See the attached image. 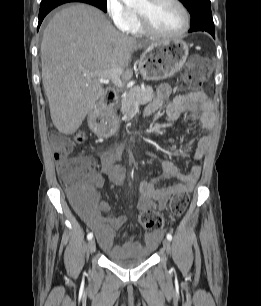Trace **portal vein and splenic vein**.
Instances as JSON below:
<instances>
[{
	"label": "portal vein and splenic vein",
	"instance_id": "portal-vein-and-splenic-vein-1",
	"mask_svg": "<svg viewBox=\"0 0 261 306\" xmlns=\"http://www.w3.org/2000/svg\"><path fill=\"white\" fill-rule=\"evenodd\" d=\"M122 73L123 70L121 68H112L110 70L96 72L95 75L99 77L101 83L106 80H111L114 85L123 87V82L120 79Z\"/></svg>",
	"mask_w": 261,
	"mask_h": 306
}]
</instances>
